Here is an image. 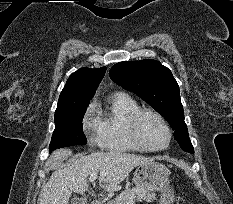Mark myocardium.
<instances>
[{
  "instance_id": "1",
  "label": "myocardium",
  "mask_w": 233,
  "mask_h": 204,
  "mask_svg": "<svg viewBox=\"0 0 233 204\" xmlns=\"http://www.w3.org/2000/svg\"><path fill=\"white\" fill-rule=\"evenodd\" d=\"M146 114L155 116L165 127L167 131L168 139L164 146L159 147V148H152L146 145L145 142L143 141L141 134H140V122L143 116H145ZM128 128H129V133H130V136L133 142L142 151H146V152L163 151L169 147L171 140H172V130L167 120L164 118L162 114H160L158 111L151 109V108H140L138 111H136L129 119Z\"/></svg>"
}]
</instances>
